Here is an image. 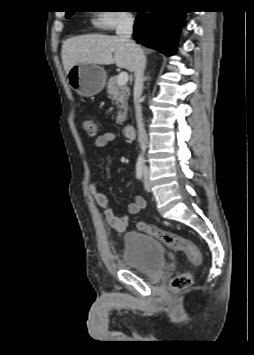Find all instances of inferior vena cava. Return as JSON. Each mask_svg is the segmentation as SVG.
I'll list each match as a JSON object with an SVG mask.
<instances>
[{
  "mask_svg": "<svg viewBox=\"0 0 254 355\" xmlns=\"http://www.w3.org/2000/svg\"><path fill=\"white\" fill-rule=\"evenodd\" d=\"M133 24H134V20L130 15H124L120 17L116 28V34L121 39V41L125 42L131 48L134 56V75H135L134 92H135L136 121L138 127V139L140 142L141 150L144 153L146 148V132L143 124L140 100L143 91L146 58L141 47L131 40Z\"/></svg>",
  "mask_w": 254,
  "mask_h": 355,
  "instance_id": "1",
  "label": "inferior vena cava"
}]
</instances>
